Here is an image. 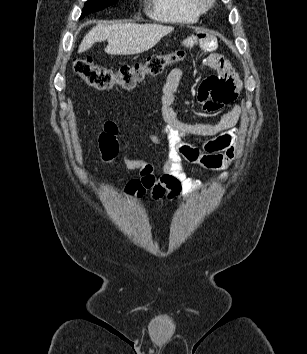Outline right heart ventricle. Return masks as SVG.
<instances>
[{
  "mask_svg": "<svg viewBox=\"0 0 307 354\" xmlns=\"http://www.w3.org/2000/svg\"><path fill=\"white\" fill-rule=\"evenodd\" d=\"M148 14L161 22L192 24L198 21L201 13L195 0H150Z\"/></svg>",
  "mask_w": 307,
  "mask_h": 354,
  "instance_id": "e07e8e85",
  "label": "right heart ventricle"
}]
</instances>
